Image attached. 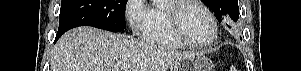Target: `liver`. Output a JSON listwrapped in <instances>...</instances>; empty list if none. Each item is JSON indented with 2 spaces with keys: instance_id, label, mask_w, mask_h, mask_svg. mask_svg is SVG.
<instances>
[{
  "instance_id": "1",
  "label": "liver",
  "mask_w": 301,
  "mask_h": 71,
  "mask_svg": "<svg viewBox=\"0 0 301 71\" xmlns=\"http://www.w3.org/2000/svg\"><path fill=\"white\" fill-rule=\"evenodd\" d=\"M190 56L132 36L93 27L66 32L52 52L51 71H168Z\"/></svg>"
}]
</instances>
